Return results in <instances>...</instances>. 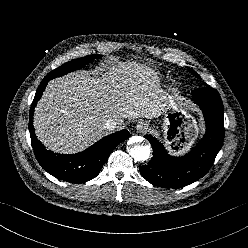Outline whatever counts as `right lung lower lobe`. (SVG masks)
<instances>
[{
  "label": "right lung lower lobe",
  "mask_w": 248,
  "mask_h": 248,
  "mask_svg": "<svg viewBox=\"0 0 248 248\" xmlns=\"http://www.w3.org/2000/svg\"><path fill=\"white\" fill-rule=\"evenodd\" d=\"M49 80H51L50 77H45L41 81L30 108L29 131L36 159L45 171L60 180L70 183L89 181L99 174L113 149L129 138L130 133L125 129L118 131L76 154L63 155L46 150L34 133L32 118L34 107L42 96Z\"/></svg>",
  "instance_id": "right-lung-lower-lobe-1"
}]
</instances>
